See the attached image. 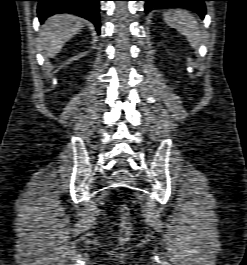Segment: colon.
Listing matches in <instances>:
<instances>
[{
  "instance_id": "1",
  "label": "colon",
  "mask_w": 247,
  "mask_h": 265,
  "mask_svg": "<svg viewBox=\"0 0 247 265\" xmlns=\"http://www.w3.org/2000/svg\"><path fill=\"white\" fill-rule=\"evenodd\" d=\"M120 235H119V243L121 245L125 244L132 234V219L130 210L127 206H122L120 210Z\"/></svg>"
}]
</instances>
